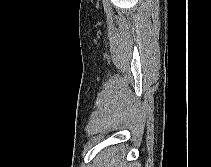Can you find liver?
I'll return each mask as SVG.
<instances>
[{"label":"liver","mask_w":211,"mask_h":167,"mask_svg":"<svg viewBox=\"0 0 211 167\" xmlns=\"http://www.w3.org/2000/svg\"><path fill=\"white\" fill-rule=\"evenodd\" d=\"M93 167H131L126 166L123 160L116 155L115 150L103 152L95 161Z\"/></svg>","instance_id":"obj_1"}]
</instances>
